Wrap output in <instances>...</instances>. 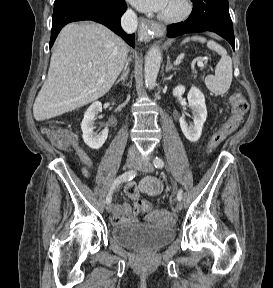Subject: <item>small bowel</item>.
Returning <instances> with one entry per match:
<instances>
[{"instance_id": "1", "label": "small bowel", "mask_w": 273, "mask_h": 288, "mask_svg": "<svg viewBox=\"0 0 273 288\" xmlns=\"http://www.w3.org/2000/svg\"><path fill=\"white\" fill-rule=\"evenodd\" d=\"M76 150L83 164V173L85 176H88L92 168V161L82 148L76 146ZM162 189L163 185L161 181L154 177H145L138 185L134 182L127 183L125 191L134 204L133 206L128 203L116 204L112 222L114 224L137 222L139 215L142 213L137 203L139 195L143 193L146 195L155 196L160 194Z\"/></svg>"}]
</instances>
